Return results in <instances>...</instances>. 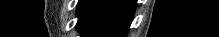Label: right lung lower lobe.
<instances>
[{
    "label": "right lung lower lobe",
    "mask_w": 219,
    "mask_h": 37,
    "mask_svg": "<svg viewBox=\"0 0 219 37\" xmlns=\"http://www.w3.org/2000/svg\"><path fill=\"white\" fill-rule=\"evenodd\" d=\"M135 0H80L77 30L88 37H126Z\"/></svg>",
    "instance_id": "1"
}]
</instances>
